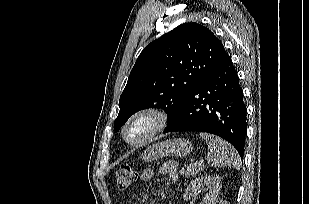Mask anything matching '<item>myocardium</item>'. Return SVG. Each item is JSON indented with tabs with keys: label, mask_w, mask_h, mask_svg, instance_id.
Here are the masks:
<instances>
[{
	"label": "myocardium",
	"mask_w": 309,
	"mask_h": 204,
	"mask_svg": "<svg viewBox=\"0 0 309 204\" xmlns=\"http://www.w3.org/2000/svg\"><path fill=\"white\" fill-rule=\"evenodd\" d=\"M151 118L153 120V128L149 131L148 134H146L143 138L136 140V141H131L128 136H127V129L130 126L131 123L134 121L140 119V118ZM168 123V116L167 113L158 107H146L142 108L136 112H134L124 123L122 127V137L124 141L131 145V146H138L142 145L146 142H148L150 139H152L154 136L162 132L165 127L167 126Z\"/></svg>",
	"instance_id": "obj_1"
}]
</instances>
